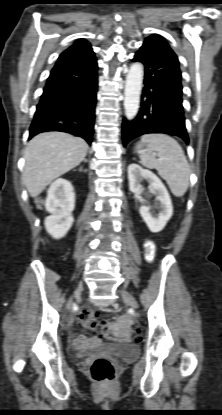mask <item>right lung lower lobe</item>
<instances>
[{
    "label": "right lung lower lobe",
    "instance_id": "obj_1",
    "mask_svg": "<svg viewBox=\"0 0 222 415\" xmlns=\"http://www.w3.org/2000/svg\"><path fill=\"white\" fill-rule=\"evenodd\" d=\"M97 68L94 53L58 58L37 105L29 139L42 132L61 131L80 136L91 144Z\"/></svg>",
    "mask_w": 222,
    "mask_h": 415
}]
</instances>
